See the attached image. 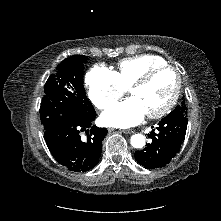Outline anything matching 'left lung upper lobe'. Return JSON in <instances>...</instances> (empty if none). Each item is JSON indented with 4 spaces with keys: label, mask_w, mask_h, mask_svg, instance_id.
<instances>
[{
    "label": "left lung upper lobe",
    "mask_w": 221,
    "mask_h": 221,
    "mask_svg": "<svg viewBox=\"0 0 221 221\" xmlns=\"http://www.w3.org/2000/svg\"><path fill=\"white\" fill-rule=\"evenodd\" d=\"M173 111H182V112L187 113V107H186V105L184 103H181Z\"/></svg>",
    "instance_id": "left-lung-upper-lobe-1"
}]
</instances>
